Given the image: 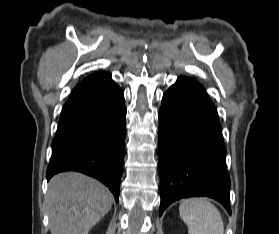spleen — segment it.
<instances>
[{
	"instance_id": "1",
	"label": "spleen",
	"mask_w": 279,
	"mask_h": 234,
	"mask_svg": "<svg viewBox=\"0 0 279 234\" xmlns=\"http://www.w3.org/2000/svg\"><path fill=\"white\" fill-rule=\"evenodd\" d=\"M179 213L188 227V234H224L221 214L207 199L183 200Z\"/></svg>"
}]
</instances>
